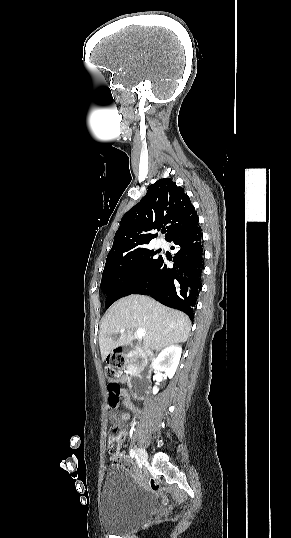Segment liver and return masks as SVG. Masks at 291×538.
I'll return each instance as SVG.
<instances>
[{
    "label": "liver",
    "mask_w": 291,
    "mask_h": 538,
    "mask_svg": "<svg viewBox=\"0 0 291 538\" xmlns=\"http://www.w3.org/2000/svg\"><path fill=\"white\" fill-rule=\"evenodd\" d=\"M125 331L120 332L121 329ZM145 331L143 345L157 351L184 343L189 337V317L143 295H130L115 302L104 315L99 331L102 360L116 348L132 344L134 329ZM120 333L118 338L113 335Z\"/></svg>",
    "instance_id": "liver-1"
}]
</instances>
